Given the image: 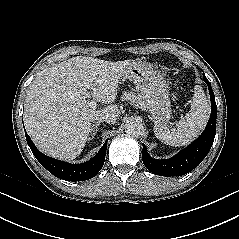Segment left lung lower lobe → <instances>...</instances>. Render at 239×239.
I'll return each mask as SVG.
<instances>
[{
    "label": "left lung lower lobe",
    "mask_w": 239,
    "mask_h": 239,
    "mask_svg": "<svg viewBox=\"0 0 239 239\" xmlns=\"http://www.w3.org/2000/svg\"><path fill=\"white\" fill-rule=\"evenodd\" d=\"M208 85L211 98V115L203 133L188 147L170 159L157 160L151 158L145 145L142 150V160L147 169L160 176H181L195 169L206 157L213 144L216 134L217 106L215 96L208 79H204Z\"/></svg>",
    "instance_id": "0a47b994"
}]
</instances>
